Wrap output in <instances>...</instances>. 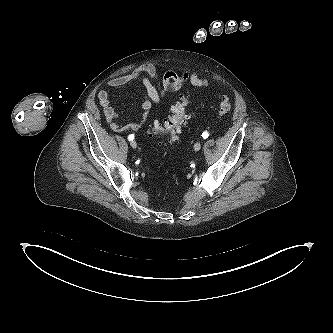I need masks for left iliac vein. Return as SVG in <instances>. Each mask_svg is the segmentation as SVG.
<instances>
[{
	"label": "left iliac vein",
	"mask_w": 333,
	"mask_h": 333,
	"mask_svg": "<svg viewBox=\"0 0 333 333\" xmlns=\"http://www.w3.org/2000/svg\"><path fill=\"white\" fill-rule=\"evenodd\" d=\"M200 148H201V144L199 142H196L195 145H194V150L199 151Z\"/></svg>",
	"instance_id": "4c4485c4"
}]
</instances>
